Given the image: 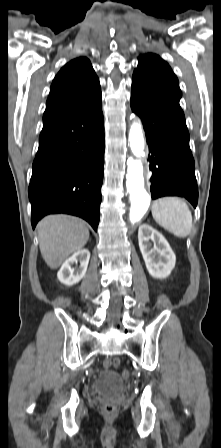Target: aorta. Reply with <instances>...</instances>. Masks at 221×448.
Wrapping results in <instances>:
<instances>
[{
  "mask_svg": "<svg viewBox=\"0 0 221 448\" xmlns=\"http://www.w3.org/2000/svg\"><path fill=\"white\" fill-rule=\"evenodd\" d=\"M129 144L136 157L144 155L145 140L140 121L134 122L130 128ZM126 189L131 200L130 220L137 222L146 213L151 200L144 188L143 166L139 160L127 162Z\"/></svg>",
  "mask_w": 221,
  "mask_h": 448,
  "instance_id": "1",
  "label": "aorta"
}]
</instances>
